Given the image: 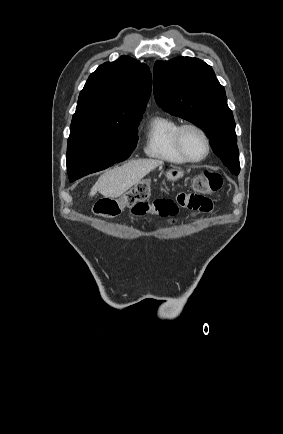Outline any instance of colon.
<instances>
[{"instance_id":"5ec220e1","label":"colon","mask_w":283,"mask_h":434,"mask_svg":"<svg viewBox=\"0 0 283 434\" xmlns=\"http://www.w3.org/2000/svg\"><path fill=\"white\" fill-rule=\"evenodd\" d=\"M222 186V177L220 174L212 171H205L195 179V188L201 193H213ZM151 192V183L143 180L133 186L118 199L105 198L95 205V213L103 217H115L125 208H131L134 205L147 200Z\"/></svg>"}]
</instances>
